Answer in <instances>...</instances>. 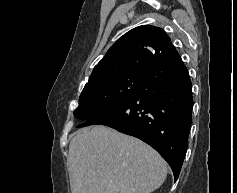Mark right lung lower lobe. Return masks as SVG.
Masks as SVG:
<instances>
[{"instance_id": "1", "label": "right lung lower lobe", "mask_w": 237, "mask_h": 193, "mask_svg": "<svg viewBox=\"0 0 237 193\" xmlns=\"http://www.w3.org/2000/svg\"><path fill=\"white\" fill-rule=\"evenodd\" d=\"M192 105L191 80L174 51L147 71L128 101L79 127L100 124L141 139L167 161L176 181L187 150Z\"/></svg>"}]
</instances>
